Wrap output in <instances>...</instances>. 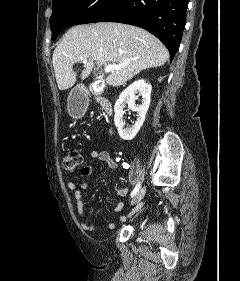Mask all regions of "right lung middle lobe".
Returning a JSON list of instances; mask_svg holds the SVG:
<instances>
[{
	"mask_svg": "<svg viewBox=\"0 0 240 281\" xmlns=\"http://www.w3.org/2000/svg\"><path fill=\"white\" fill-rule=\"evenodd\" d=\"M118 0H53L50 18L52 40L65 28L93 23L107 12Z\"/></svg>",
	"mask_w": 240,
	"mask_h": 281,
	"instance_id": "1",
	"label": "right lung middle lobe"
}]
</instances>
